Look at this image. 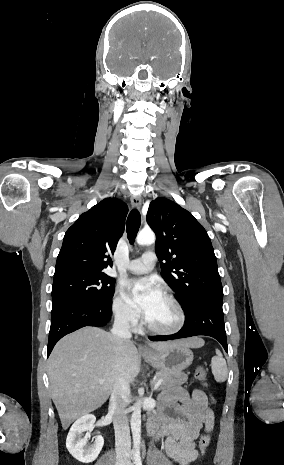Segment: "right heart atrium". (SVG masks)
Listing matches in <instances>:
<instances>
[{
    "instance_id": "d8ad5b80",
    "label": "right heart atrium",
    "mask_w": 284,
    "mask_h": 465,
    "mask_svg": "<svg viewBox=\"0 0 284 465\" xmlns=\"http://www.w3.org/2000/svg\"><path fill=\"white\" fill-rule=\"evenodd\" d=\"M111 314L114 320L125 328L137 325L139 317L137 312L125 301L122 292L118 290L111 301Z\"/></svg>"
}]
</instances>
